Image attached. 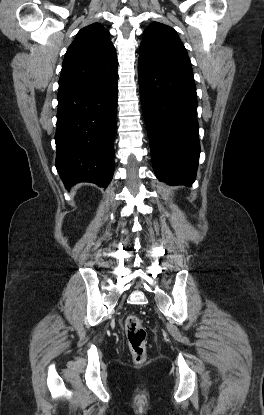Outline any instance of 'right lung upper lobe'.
Segmentation results:
<instances>
[{
    "mask_svg": "<svg viewBox=\"0 0 264 415\" xmlns=\"http://www.w3.org/2000/svg\"><path fill=\"white\" fill-rule=\"evenodd\" d=\"M116 51L109 31L99 23L81 29L69 46L62 64L59 89L109 78L117 73Z\"/></svg>",
    "mask_w": 264,
    "mask_h": 415,
    "instance_id": "cb5924a9",
    "label": "right lung upper lobe"
}]
</instances>
